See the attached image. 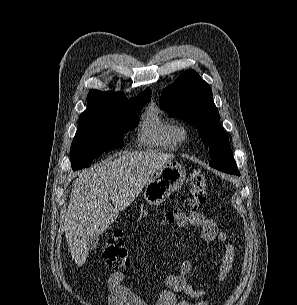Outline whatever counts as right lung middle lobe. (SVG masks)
Returning a JSON list of instances; mask_svg holds the SVG:
<instances>
[{
    "mask_svg": "<svg viewBox=\"0 0 297 305\" xmlns=\"http://www.w3.org/2000/svg\"><path fill=\"white\" fill-rule=\"evenodd\" d=\"M149 100L129 101L83 112L70 149L72 169L88 167L103 152L122 147L123 134L136 127L138 116L134 112Z\"/></svg>",
    "mask_w": 297,
    "mask_h": 305,
    "instance_id": "dd1d6c3e",
    "label": "right lung middle lobe"
}]
</instances>
